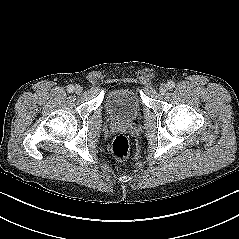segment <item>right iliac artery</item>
Segmentation results:
<instances>
[{
    "instance_id": "82829eb1",
    "label": "right iliac artery",
    "mask_w": 239,
    "mask_h": 239,
    "mask_svg": "<svg viewBox=\"0 0 239 239\" xmlns=\"http://www.w3.org/2000/svg\"><path fill=\"white\" fill-rule=\"evenodd\" d=\"M67 91H68L69 93L73 92V91H74V86H73V85H68Z\"/></svg>"
}]
</instances>
